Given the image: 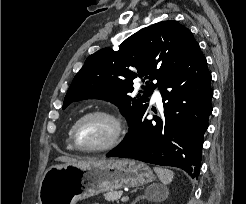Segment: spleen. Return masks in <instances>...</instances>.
<instances>
[{
  "label": "spleen",
  "mask_w": 246,
  "mask_h": 204,
  "mask_svg": "<svg viewBox=\"0 0 246 204\" xmlns=\"http://www.w3.org/2000/svg\"><path fill=\"white\" fill-rule=\"evenodd\" d=\"M154 171L156 172L158 178L164 185H167L172 182L174 177L173 171L158 166L154 167Z\"/></svg>",
  "instance_id": "3e777b00"
}]
</instances>
